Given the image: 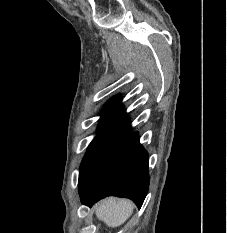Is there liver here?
Masks as SVG:
<instances>
[{"mask_svg":"<svg viewBox=\"0 0 227 233\" xmlns=\"http://www.w3.org/2000/svg\"><path fill=\"white\" fill-rule=\"evenodd\" d=\"M134 204L127 199L107 198L95 205L96 217L108 227L122 225L133 213Z\"/></svg>","mask_w":227,"mask_h":233,"instance_id":"6515ba94","label":"liver"}]
</instances>
